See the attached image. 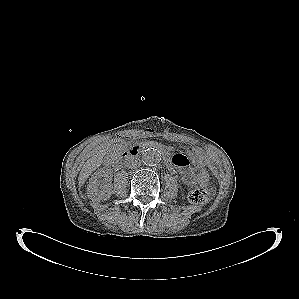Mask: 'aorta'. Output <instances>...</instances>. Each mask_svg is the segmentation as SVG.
I'll list each match as a JSON object with an SVG mask.
<instances>
[{
    "label": "aorta",
    "mask_w": 299,
    "mask_h": 299,
    "mask_svg": "<svg viewBox=\"0 0 299 299\" xmlns=\"http://www.w3.org/2000/svg\"><path fill=\"white\" fill-rule=\"evenodd\" d=\"M143 161L148 165H155L161 161V152L157 148L149 147L143 153Z\"/></svg>",
    "instance_id": "obj_1"
}]
</instances>
